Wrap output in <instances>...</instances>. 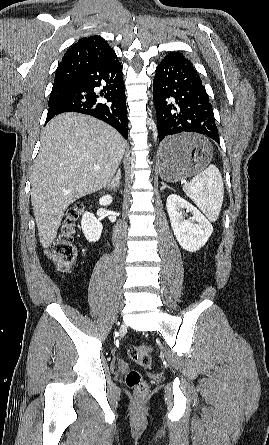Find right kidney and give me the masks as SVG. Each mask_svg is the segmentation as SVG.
<instances>
[{
  "label": "right kidney",
  "instance_id": "right-kidney-1",
  "mask_svg": "<svg viewBox=\"0 0 269 445\" xmlns=\"http://www.w3.org/2000/svg\"><path fill=\"white\" fill-rule=\"evenodd\" d=\"M113 199L110 195H105L100 198L101 205H110ZM81 228L84 236L89 242H96L99 240L103 226L101 222L90 212H85L81 220Z\"/></svg>",
  "mask_w": 269,
  "mask_h": 445
}]
</instances>
